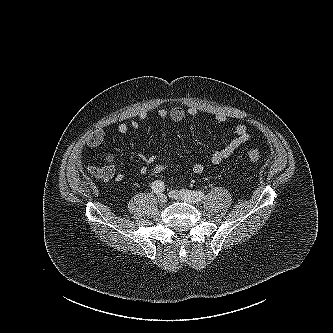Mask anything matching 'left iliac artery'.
I'll use <instances>...</instances> for the list:
<instances>
[{
    "instance_id": "left-iliac-artery-1",
    "label": "left iliac artery",
    "mask_w": 333,
    "mask_h": 333,
    "mask_svg": "<svg viewBox=\"0 0 333 333\" xmlns=\"http://www.w3.org/2000/svg\"><path fill=\"white\" fill-rule=\"evenodd\" d=\"M182 192L195 203L204 199L205 195L203 191H191L183 189Z\"/></svg>"
}]
</instances>
